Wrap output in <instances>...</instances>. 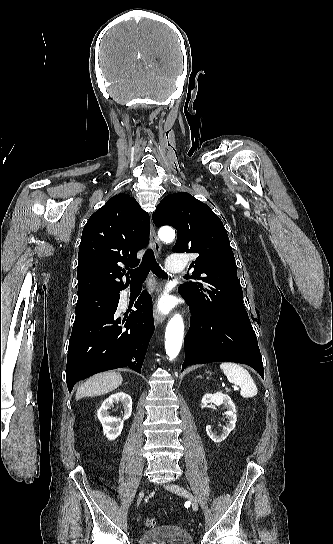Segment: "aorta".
Returning <instances> with one entry per match:
<instances>
[{"mask_svg": "<svg viewBox=\"0 0 333 544\" xmlns=\"http://www.w3.org/2000/svg\"><path fill=\"white\" fill-rule=\"evenodd\" d=\"M159 238L170 243L175 238V232L170 227H162L158 232ZM184 322L179 314H175L167 324L165 332V350L170 360L175 359L182 347Z\"/></svg>", "mask_w": 333, "mask_h": 544, "instance_id": "1", "label": "aorta"}]
</instances>
